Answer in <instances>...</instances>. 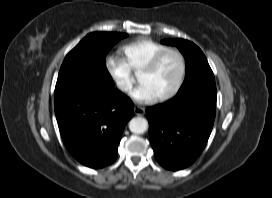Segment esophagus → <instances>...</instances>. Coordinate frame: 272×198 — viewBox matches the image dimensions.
I'll use <instances>...</instances> for the list:
<instances>
[{
    "label": "esophagus",
    "instance_id": "1",
    "mask_svg": "<svg viewBox=\"0 0 272 198\" xmlns=\"http://www.w3.org/2000/svg\"><path fill=\"white\" fill-rule=\"evenodd\" d=\"M134 114L137 116H143L145 114V109L140 106H134Z\"/></svg>",
    "mask_w": 272,
    "mask_h": 198
}]
</instances>
